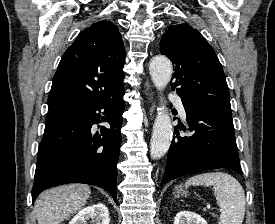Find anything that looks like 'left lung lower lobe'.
<instances>
[{
    "label": "left lung lower lobe",
    "instance_id": "1",
    "mask_svg": "<svg viewBox=\"0 0 275 224\" xmlns=\"http://www.w3.org/2000/svg\"><path fill=\"white\" fill-rule=\"evenodd\" d=\"M190 136L176 137L169 148L167 164L161 185L194 172L228 168L242 174L235 140L232 115L195 107L182 100Z\"/></svg>",
    "mask_w": 275,
    "mask_h": 224
}]
</instances>
